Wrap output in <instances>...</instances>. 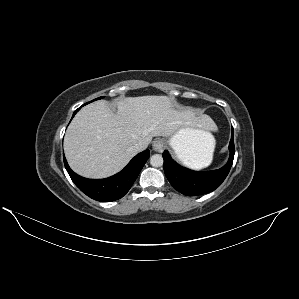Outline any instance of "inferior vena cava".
<instances>
[{"instance_id": "inferior-vena-cava-1", "label": "inferior vena cava", "mask_w": 299, "mask_h": 299, "mask_svg": "<svg viewBox=\"0 0 299 299\" xmlns=\"http://www.w3.org/2000/svg\"><path fill=\"white\" fill-rule=\"evenodd\" d=\"M147 146H148V144L146 142L139 141L133 146V148L136 152H140V151L145 150L147 148Z\"/></svg>"}]
</instances>
